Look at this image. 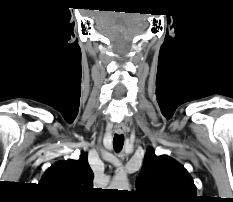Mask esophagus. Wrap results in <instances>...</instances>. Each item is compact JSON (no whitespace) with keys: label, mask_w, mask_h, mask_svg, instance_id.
Listing matches in <instances>:
<instances>
[{"label":"esophagus","mask_w":233,"mask_h":202,"mask_svg":"<svg viewBox=\"0 0 233 202\" xmlns=\"http://www.w3.org/2000/svg\"><path fill=\"white\" fill-rule=\"evenodd\" d=\"M125 131V125L124 124H117L115 126V132L118 134H121Z\"/></svg>","instance_id":"esophagus-1"}]
</instances>
